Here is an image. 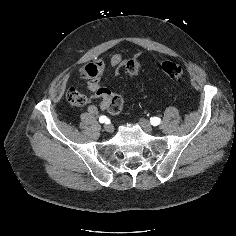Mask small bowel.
<instances>
[{"mask_svg":"<svg viewBox=\"0 0 236 236\" xmlns=\"http://www.w3.org/2000/svg\"><path fill=\"white\" fill-rule=\"evenodd\" d=\"M125 58L120 53L113 54L109 59V68L120 74V69L125 65ZM105 65L101 59H96L91 63L85 64L80 68V77L87 79V86L91 92V98L99 99V106L89 105L88 113L95 115L99 110H105L113 97L110 89L102 85V76L104 74Z\"/></svg>","mask_w":236,"mask_h":236,"instance_id":"small-bowel-1","label":"small bowel"}]
</instances>
